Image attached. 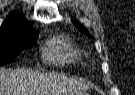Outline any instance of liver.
<instances>
[{
  "instance_id": "1",
  "label": "liver",
  "mask_w": 135,
  "mask_h": 95,
  "mask_svg": "<svg viewBox=\"0 0 135 95\" xmlns=\"http://www.w3.org/2000/svg\"><path fill=\"white\" fill-rule=\"evenodd\" d=\"M87 85L61 74L0 68V95H81Z\"/></svg>"
}]
</instances>
